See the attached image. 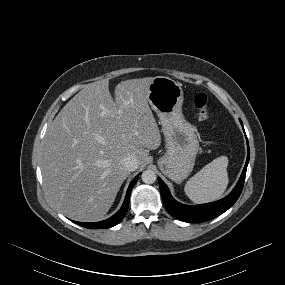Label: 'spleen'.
Here are the masks:
<instances>
[{
  "label": "spleen",
  "mask_w": 285,
  "mask_h": 285,
  "mask_svg": "<svg viewBox=\"0 0 285 285\" xmlns=\"http://www.w3.org/2000/svg\"><path fill=\"white\" fill-rule=\"evenodd\" d=\"M228 158L220 156L204 166L185 185L184 191L194 203L218 200L225 192L229 178Z\"/></svg>",
  "instance_id": "spleen-1"
}]
</instances>
